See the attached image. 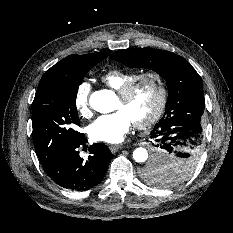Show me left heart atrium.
I'll list each match as a JSON object with an SVG mask.
<instances>
[{
  "label": "left heart atrium",
  "mask_w": 233,
  "mask_h": 233,
  "mask_svg": "<svg viewBox=\"0 0 233 233\" xmlns=\"http://www.w3.org/2000/svg\"><path fill=\"white\" fill-rule=\"evenodd\" d=\"M133 120L123 109L111 114L99 116L88 127L89 136L94 141L118 143L121 142L132 126Z\"/></svg>",
  "instance_id": "1"
}]
</instances>
